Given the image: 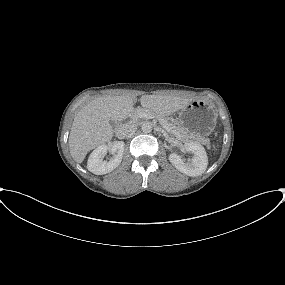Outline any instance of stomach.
<instances>
[{
    "label": "stomach",
    "instance_id": "stomach-1",
    "mask_svg": "<svg viewBox=\"0 0 285 285\" xmlns=\"http://www.w3.org/2000/svg\"><path fill=\"white\" fill-rule=\"evenodd\" d=\"M217 114L204 100H193L178 112V124L191 138L205 137L214 130Z\"/></svg>",
    "mask_w": 285,
    "mask_h": 285
}]
</instances>
